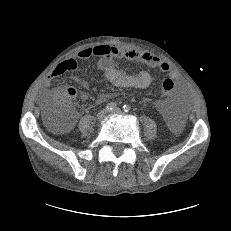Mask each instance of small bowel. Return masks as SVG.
I'll return each instance as SVG.
<instances>
[{"label": "small bowel", "mask_w": 231, "mask_h": 231, "mask_svg": "<svg viewBox=\"0 0 231 231\" xmlns=\"http://www.w3.org/2000/svg\"><path fill=\"white\" fill-rule=\"evenodd\" d=\"M91 57L99 58L96 69L103 73L105 78L116 87L143 89L147 88L152 82V77L147 71L143 70L134 74H129L122 69L116 68L115 59L117 58L137 61L149 67L158 68L163 72L169 73L172 81L177 78V74L173 71L170 64L154 54L136 49H123L116 45L103 44L82 49L76 55L58 63L43 81V86L49 87L52 81L56 78L62 76L66 72L74 71L78 66V60H86ZM63 91L64 90L59 93H62ZM110 97V93H101L98 100L105 101ZM81 98L87 99V94H81ZM158 107L166 120L171 123L176 121L177 114L171 107H169L167 101H159ZM74 122L75 116L70 119L68 128H70Z\"/></svg>", "instance_id": "obj_1"}]
</instances>
